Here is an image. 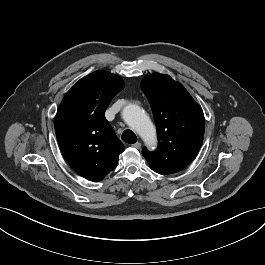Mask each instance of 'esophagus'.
<instances>
[{
  "label": "esophagus",
  "mask_w": 265,
  "mask_h": 265,
  "mask_svg": "<svg viewBox=\"0 0 265 265\" xmlns=\"http://www.w3.org/2000/svg\"><path fill=\"white\" fill-rule=\"evenodd\" d=\"M132 147H134L136 149H140L141 148V143L140 142L134 143V144H132Z\"/></svg>",
  "instance_id": "34e87169"
}]
</instances>
